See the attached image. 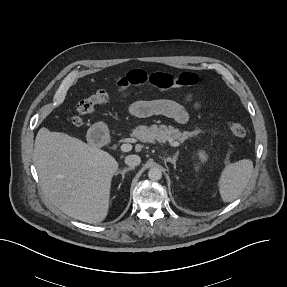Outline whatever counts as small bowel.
<instances>
[{
    "label": "small bowel",
    "mask_w": 287,
    "mask_h": 287,
    "mask_svg": "<svg viewBox=\"0 0 287 287\" xmlns=\"http://www.w3.org/2000/svg\"><path fill=\"white\" fill-rule=\"evenodd\" d=\"M184 102L191 104L194 109H197L199 106L198 103L194 101L192 94H187ZM129 112L136 117L164 115L177 124H185L189 117L188 111L182 103L168 99L135 101L129 106Z\"/></svg>",
    "instance_id": "obj_1"
}]
</instances>
